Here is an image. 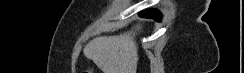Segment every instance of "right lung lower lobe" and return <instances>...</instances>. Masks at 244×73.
I'll return each instance as SVG.
<instances>
[{"label":"right lung lower lobe","mask_w":244,"mask_h":73,"mask_svg":"<svg viewBox=\"0 0 244 73\" xmlns=\"http://www.w3.org/2000/svg\"><path fill=\"white\" fill-rule=\"evenodd\" d=\"M140 15L147 18H154L155 20L158 21H160L161 19L160 13L157 10H152V9L143 11Z\"/></svg>","instance_id":"1"}]
</instances>
